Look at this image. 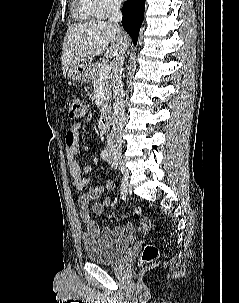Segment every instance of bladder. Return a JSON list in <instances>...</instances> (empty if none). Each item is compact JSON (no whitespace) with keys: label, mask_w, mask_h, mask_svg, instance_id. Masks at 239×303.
<instances>
[{"label":"bladder","mask_w":239,"mask_h":303,"mask_svg":"<svg viewBox=\"0 0 239 303\" xmlns=\"http://www.w3.org/2000/svg\"><path fill=\"white\" fill-rule=\"evenodd\" d=\"M133 239H110L84 237L82 245L89 260L100 264H113L126 254Z\"/></svg>","instance_id":"bladder-1"}]
</instances>
